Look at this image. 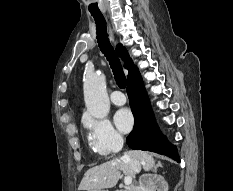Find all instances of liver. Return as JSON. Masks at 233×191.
I'll return each mask as SVG.
<instances>
[{
  "label": "liver",
  "instance_id": "1",
  "mask_svg": "<svg viewBox=\"0 0 233 191\" xmlns=\"http://www.w3.org/2000/svg\"><path fill=\"white\" fill-rule=\"evenodd\" d=\"M130 158L137 159L145 171L154 166V158L145 151L130 150L124 153L121 158H116L87 170L78 187L79 191H100L101 189L113 188L116 186L121 171L126 176H135V172L128 164Z\"/></svg>",
  "mask_w": 233,
  "mask_h": 191
}]
</instances>
